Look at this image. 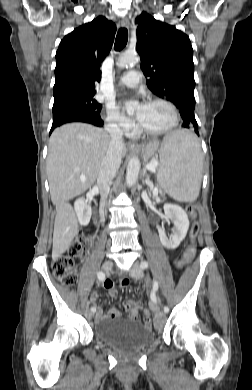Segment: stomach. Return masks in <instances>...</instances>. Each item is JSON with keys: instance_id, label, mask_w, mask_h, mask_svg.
<instances>
[{"instance_id": "1", "label": "stomach", "mask_w": 252, "mask_h": 390, "mask_svg": "<svg viewBox=\"0 0 252 390\" xmlns=\"http://www.w3.org/2000/svg\"><path fill=\"white\" fill-rule=\"evenodd\" d=\"M157 149H158L157 142H152V143L147 144L146 146H142L141 153H142L143 159L145 161H148L149 159H151L153 157V155L155 154V152L157 151ZM160 151H161V149H160Z\"/></svg>"}]
</instances>
